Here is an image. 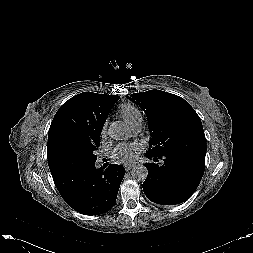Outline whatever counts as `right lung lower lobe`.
Instances as JSON below:
<instances>
[{"instance_id":"obj_1","label":"right lung lower lobe","mask_w":253,"mask_h":253,"mask_svg":"<svg viewBox=\"0 0 253 253\" xmlns=\"http://www.w3.org/2000/svg\"><path fill=\"white\" fill-rule=\"evenodd\" d=\"M124 175L121 165L110 164L103 170L93 163L52 177L70 207L84 215H100L115 205Z\"/></svg>"}]
</instances>
